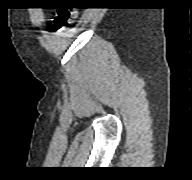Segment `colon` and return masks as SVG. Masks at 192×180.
I'll use <instances>...</instances> for the list:
<instances>
[{
  "instance_id": "1",
  "label": "colon",
  "mask_w": 192,
  "mask_h": 180,
  "mask_svg": "<svg viewBox=\"0 0 192 180\" xmlns=\"http://www.w3.org/2000/svg\"><path fill=\"white\" fill-rule=\"evenodd\" d=\"M77 17L76 9H59L55 15L54 24L57 28L68 26Z\"/></svg>"
}]
</instances>
